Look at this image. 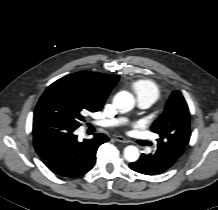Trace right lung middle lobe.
Masks as SVG:
<instances>
[{
    "mask_svg": "<svg viewBox=\"0 0 218 210\" xmlns=\"http://www.w3.org/2000/svg\"><path fill=\"white\" fill-rule=\"evenodd\" d=\"M98 110L86 98L54 82L41 96L34 112V118H60L78 128L87 112Z\"/></svg>",
    "mask_w": 218,
    "mask_h": 210,
    "instance_id": "1",
    "label": "right lung middle lobe"
}]
</instances>
